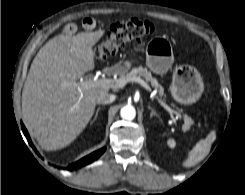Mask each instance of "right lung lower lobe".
I'll list each match as a JSON object with an SVG mask.
<instances>
[{"mask_svg":"<svg viewBox=\"0 0 245 195\" xmlns=\"http://www.w3.org/2000/svg\"><path fill=\"white\" fill-rule=\"evenodd\" d=\"M21 127H22V131H23L28 143L30 144V146H32L34 151L38 154L37 150L35 149L34 145L32 144L30 136H29L25 126L23 125V123H21ZM105 149L106 148L104 147L102 149H99V150L91 153L90 155L80 159L79 161L70 164L66 169L70 170V171L77 170V169H79V168H81V167H83V166H85L87 164L92 163L93 161L97 160L104 153Z\"/></svg>","mask_w":245,"mask_h":195,"instance_id":"98d812e1","label":"right lung lower lobe"}]
</instances>
